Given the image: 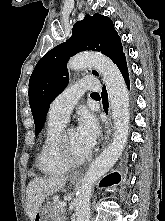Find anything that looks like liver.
Listing matches in <instances>:
<instances>
[{"label": "liver", "mask_w": 165, "mask_h": 221, "mask_svg": "<svg viewBox=\"0 0 165 221\" xmlns=\"http://www.w3.org/2000/svg\"><path fill=\"white\" fill-rule=\"evenodd\" d=\"M68 180L67 176L35 178L30 181L26 189V206L28 216L34 221L37 211L44 202L45 198L64 188Z\"/></svg>", "instance_id": "obj_1"}]
</instances>
